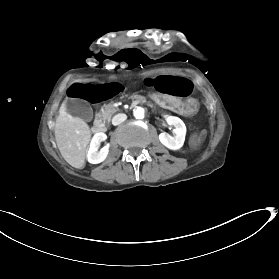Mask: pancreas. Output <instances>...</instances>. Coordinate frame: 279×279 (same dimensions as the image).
I'll return each mask as SVG.
<instances>
[{
	"label": "pancreas",
	"mask_w": 279,
	"mask_h": 279,
	"mask_svg": "<svg viewBox=\"0 0 279 279\" xmlns=\"http://www.w3.org/2000/svg\"><path fill=\"white\" fill-rule=\"evenodd\" d=\"M123 97H127L126 95H124ZM129 98L133 101V102H139L144 106H147L149 104V101L145 98H143L142 96L133 94L132 96H129ZM114 100H112L111 102H109L108 104H104L101 108V118L103 120H110L112 115L116 112L119 111V109L117 107H114Z\"/></svg>",
	"instance_id": "pancreas-1"
}]
</instances>
